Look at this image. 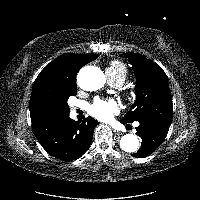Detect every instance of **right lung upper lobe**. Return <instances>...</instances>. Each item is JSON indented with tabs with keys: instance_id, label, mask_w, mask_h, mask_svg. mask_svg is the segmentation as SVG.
Listing matches in <instances>:
<instances>
[{
	"instance_id": "obj_1",
	"label": "right lung upper lobe",
	"mask_w": 200,
	"mask_h": 200,
	"mask_svg": "<svg viewBox=\"0 0 200 200\" xmlns=\"http://www.w3.org/2000/svg\"><path fill=\"white\" fill-rule=\"evenodd\" d=\"M96 58L94 54H64L49 63L34 82L29 102L31 121L39 119L37 103L44 94L60 93L76 85L77 72Z\"/></svg>"
}]
</instances>
